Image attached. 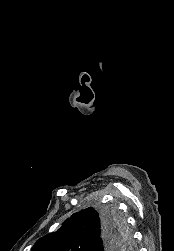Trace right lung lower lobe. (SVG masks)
Returning <instances> with one entry per match:
<instances>
[{
  "label": "right lung lower lobe",
  "instance_id": "1",
  "mask_svg": "<svg viewBox=\"0 0 174 251\" xmlns=\"http://www.w3.org/2000/svg\"><path fill=\"white\" fill-rule=\"evenodd\" d=\"M118 232L120 231L118 230L117 225L109 222L104 218L102 223V235L100 241L101 243L94 250L97 251L99 250L100 247H104L105 248L104 251H119L111 248L115 241V238L117 237Z\"/></svg>",
  "mask_w": 174,
  "mask_h": 251
}]
</instances>
